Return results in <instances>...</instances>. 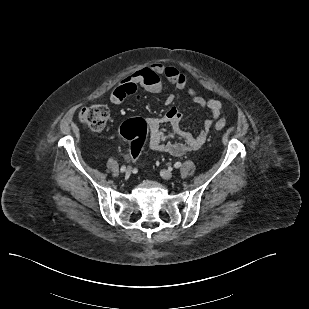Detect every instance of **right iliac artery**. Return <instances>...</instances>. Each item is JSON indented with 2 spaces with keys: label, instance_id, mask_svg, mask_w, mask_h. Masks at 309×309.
I'll use <instances>...</instances> for the list:
<instances>
[{
  "label": "right iliac artery",
  "instance_id": "right-iliac-artery-1",
  "mask_svg": "<svg viewBox=\"0 0 309 309\" xmlns=\"http://www.w3.org/2000/svg\"><path fill=\"white\" fill-rule=\"evenodd\" d=\"M120 170H121V172H124V171L126 170V167H125V166H122V167L120 168Z\"/></svg>",
  "mask_w": 309,
  "mask_h": 309
}]
</instances>
